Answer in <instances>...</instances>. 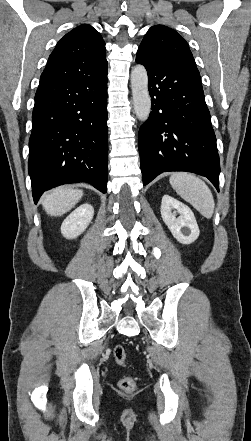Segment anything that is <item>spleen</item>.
Returning a JSON list of instances; mask_svg holds the SVG:
<instances>
[{
    "label": "spleen",
    "mask_w": 251,
    "mask_h": 441,
    "mask_svg": "<svg viewBox=\"0 0 251 441\" xmlns=\"http://www.w3.org/2000/svg\"><path fill=\"white\" fill-rule=\"evenodd\" d=\"M169 182L176 193L189 202L200 214L208 219L213 215L215 202L209 187L193 174L173 173Z\"/></svg>",
    "instance_id": "spleen-1"
}]
</instances>
